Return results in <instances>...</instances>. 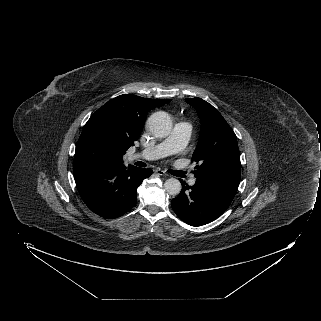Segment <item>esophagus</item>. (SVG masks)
Instances as JSON below:
<instances>
[{
	"label": "esophagus",
	"mask_w": 321,
	"mask_h": 321,
	"mask_svg": "<svg viewBox=\"0 0 321 321\" xmlns=\"http://www.w3.org/2000/svg\"><path fill=\"white\" fill-rule=\"evenodd\" d=\"M154 173H156V174H158L160 176H167L168 175L165 171H163L161 169H155Z\"/></svg>",
	"instance_id": "34e87169"
}]
</instances>
